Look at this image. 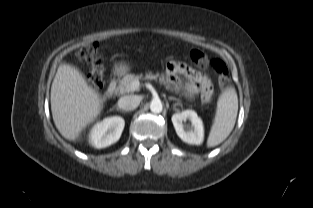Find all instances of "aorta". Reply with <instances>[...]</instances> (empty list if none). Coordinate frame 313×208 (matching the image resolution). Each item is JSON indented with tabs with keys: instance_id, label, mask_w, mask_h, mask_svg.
Masks as SVG:
<instances>
[{
	"instance_id": "762f6f07",
	"label": "aorta",
	"mask_w": 313,
	"mask_h": 208,
	"mask_svg": "<svg viewBox=\"0 0 313 208\" xmlns=\"http://www.w3.org/2000/svg\"><path fill=\"white\" fill-rule=\"evenodd\" d=\"M150 110L153 113H160L163 110V105L160 99H153L150 103Z\"/></svg>"
}]
</instances>
